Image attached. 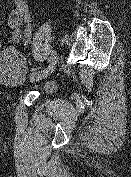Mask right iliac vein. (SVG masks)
Returning a JSON list of instances; mask_svg holds the SVG:
<instances>
[{"instance_id":"63e3f726","label":"right iliac vein","mask_w":131,"mask_h":177,"mask_svg":"<svg viewBox=\"0 0 131 177\" xmlns=\"http://www.w3.org/2000/svg\"><path fill=\"white\" fill-rule=\"evenodd\" d=\"M57 59L58 58H57V55L55 53L54 60L51 61V63H50L51 67L48 70H44V72L39 71V72L34 73L31 77V80L38 81V80H42V79L48 77L54 71L56 63H57Z\"/></svg>"}]
</instances>
